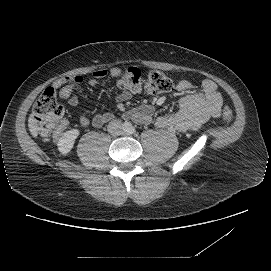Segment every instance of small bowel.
Returning a JSON list of instances; mask_svg holds the SVG:
<instances>
[{
    "label": "small bowel",
    "mask_w": 271,
    "mask_h": 271,
    "mask_svg": "<svg viewBox=\"0 0 271 271\" xmlns=\"http://www.w3.org/2000/svg\"><path fill=\"white\" fill-rule=\"evenodd\" d=\"M108 73L113 77H118L121 70L113 67L110 71L97 70L93 73L92 79L88 81L90 87L105 86L108 84L105 79ZM83 82L80 75H70L57 79L52 87L58 90L59 98L66 100L69 105L78 104V96L75 90ZM176 89L180 92H188L176 103V109L168 115L158 116L155 125L159 128H171L179 132L197 130L202 127L211 118H218L221 115L223 101L218 90V86L211 80H204L199 87H196L188 80H182L177 84ZM131 98V92L122 91L117 96L118 102H125ZM128 115L140 124H147L152 120L153 108L150 106H141L128 113ZM113 118L111 112L94 114L91 118L82 115L79 121L80 126L85 127L89 123L99 128ZM61 131L55 133V137L60 135Z\"/></svg>",
    "instance_id": "small-bowel-1"
}]
</instances>
